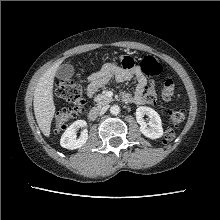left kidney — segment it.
I'll return each instance as SVG.
<instances>
[{
  "mask_svg": "<svg viewBox=\"0 0 220 220\" xmlns=\"http://www.w3.org/2000/svg\"><path fill=\"white\" fill-rule=\"evenodd\" d=\"M149 117V127L143 120V116ZM136 119L140 124V132L150 139H157L163 136V128L160 115L152 108L140 106L136 110Z\"/></svg>",
  "mask_w": 220,
  "mask_h": 220,
  "instance_id": "obj_1",
  "label": "left kidney"
}]
</instances>
